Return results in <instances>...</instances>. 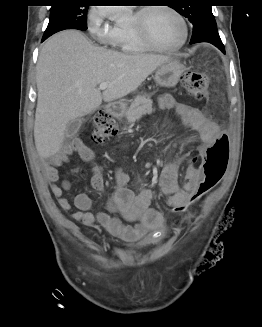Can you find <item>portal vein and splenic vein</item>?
Instances as JSON below:
<instances>
[{
    "instance_id": "portal-vein-and-splenic-vein-1",
    "label": "portal vein and splenic vein",
    "mask_w": 262,
    "mask_h": 327,
    "mask_svg": "<svg viewBox=\"0 0 262 327\" xmlns=\"http://www.w3.org/2000/svg\"><path fill=\"white\" fill-rule=\"evenodd\" d=\"M109 86H110L109 83H101V84L99 85V89H101V90H105V89H107Z\"/></svg>"
}]
</instances>
